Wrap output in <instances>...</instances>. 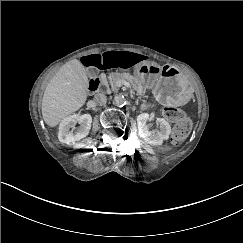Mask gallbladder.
<instances>
[{
  "instance_id": "1",
  "label": "gallbladder",
  "mask_w": 243,
  "mask_h": 243,
  "mask_svg": "<svg viewBox=\"0 0 243 243\" xmlns=\"http://www.w3.org/2000/svg\"><path fill=\"white\" fill-rule=\"evenodd\" d=\"M86 73L90 76H94L98 73V70L96 68H93L92 66H89L86 70Z\"/></svg>"
}]
</instances>
